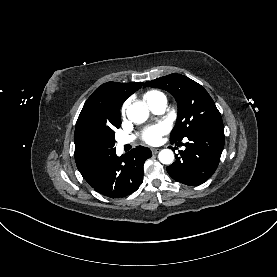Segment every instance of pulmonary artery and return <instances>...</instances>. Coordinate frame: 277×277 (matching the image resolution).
I'll return each instance as SVG.
<instances>
[{"mask_svg":"<svg viewBox=\"0 0 277 277\" xmlns=\"http://www.w3.org/2000/svg\"><path fill=\"white\" fill-rule=\"evenodd\" d=\"M148 105H149V107H150V109L152 110L153 113L160 114L166 108V99L165 98H159V99L149 103ZM132 140H133V137L121 138L118 141V145L120 147H122L123 145L130 143Z\"/></svg>","mask_w":277,"mask_h":277,"instance_id":"obj_1","label":"pulmonary artery"}]
</instances>
